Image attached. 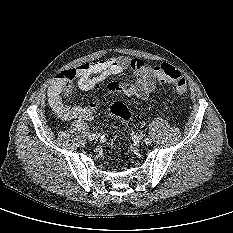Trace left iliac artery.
<instances>
[{"label": "left iliac artery", "instance_id": "1", "mask_svg": "<svg viewBox=\"0 0 233 233\" xmlns=\"http://www.w3.org/2000/svg\"><path fill=\"white\" fill-rule=\"evenodd\" d=\"M145 143H146V144H151V143H152V140H151L150 138H146V139H145Z\"/></svg>", "mask_w": 233, "mask_h": 233}]
</instances>
